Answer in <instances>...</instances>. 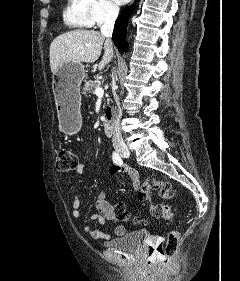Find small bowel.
<instances>
[{"label": "small bowel", "instance_id": "small-bowel-1", "mask_svg": "<svg viewBox=\"0 0 240 281\" xmlns=\"http://www.w3.org/2000/svg\"><path fill=\"white\" fill-rule=\"evenodd\" d=\"M85 170L86 167L83 163H78V165L75 168L77 175H83ZM122 172L128 174L129 178L132 181L133 186L138 189L140 186V179H139V174L135 169L130 168L128 166H117L116 164L113 165L109 170V173L111 175H117ZM95 206L97 209V214L91 216L89 219L97 220L99 226L95 227L90 224H85L83 227L85 233H87L93 239L107 238L108 235L101 230V226H103L105 222L110 221L115 224L114 233L117 236H123L124 234H126L127 229L125 225L122 224L120 222V219L116 217L113 205L107 200V196L104 191L100 192V194L98 195L95 202ZM72 216L75 219H81L83 216L81 210V201L78 194H75L73 198Z\"/></svg>", "mask_w": 240, "mask_h": 281}]
</instances>
